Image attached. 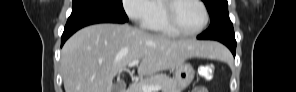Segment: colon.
<instances>
[{
    "mask_svg": "<svg viewBox=\"0 0 296 92\" xmlns=\"http://www.w3.org/2000/svg\"><path fill=\"white\" fill-rule=\"evenodd\" d=\"M214 73V68L211 66H207L203 69L200 70V74L202 77H204L205 79H210L213 76ZM207 88L205 87H196L195 89H193V92H207Z\"/></svg>",
    "mask_w": 296,
    "mask_h": 92,
    "instance_id": "colon-1",
    "label": "colon"
}]
</instances>
